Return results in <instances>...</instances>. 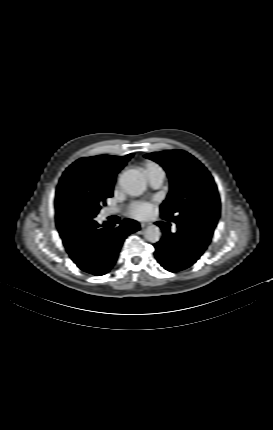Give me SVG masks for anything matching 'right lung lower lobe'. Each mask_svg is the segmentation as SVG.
<instances>
[{
  "label": "right lung lower lobe",
  "instance_id": "98d812e1",
  "mask_svg": "<svg viewBox=\"0 0 273 430\" xmlns=\"http://www.w3.org/2000/svg\"><path fill=\"white\" fill-rule=\"evenodd\" d=\"M139 229L134 220H123L117 228L94 222L81 233L79 242L66 250L81 270L101 276L114 266L125 238Z\"/></svg>",
  "mask_w": 273,
  "mask_h": 430
}]
</instances>
